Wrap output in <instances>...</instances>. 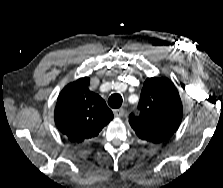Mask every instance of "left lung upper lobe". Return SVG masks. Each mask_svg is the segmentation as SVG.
<instances>
[{
	"label": "left lung upper lobe",
	"mask_w": 223,
	"mask_h": 188,
	"mask_svg": "<svg viewBox=\"0 0 223 188\" xmlns=\"http://www.w3.org/2000/svg\"><path fill=\"white\" fill-rule=\"evenodd\" d=\"M140 115L129 116L137 136L150 143L170 138L182 120V103L174 84L168 78H147L138 105Z\"/></svg>",
	"instance_id": "left-lung-upper-lobe-1"
}]
</instances>
